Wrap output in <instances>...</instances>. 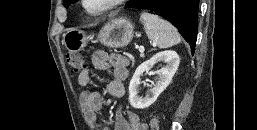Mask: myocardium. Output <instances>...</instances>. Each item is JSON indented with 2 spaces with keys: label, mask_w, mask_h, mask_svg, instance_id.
I'll return each mask as SVG.
<instances>
[{
  "label": "myocardium",
  "mask_w": 257,
  "mask_h": 130,
  "mask_svg": "<svg viewBox=\"0 0 257 130\" xmlns=\"http://www.w3.org/2000/svg\"><path fill=\"white\" fill-rule=\"evenodd\" d=\"M127 0H111L106 6L98 11H90L86 6V0H81V5L84 11L91 16H100L107 13L108 11L122 5Z\"/></svg>",
  "instance_id": "1"
}]
</instances>
